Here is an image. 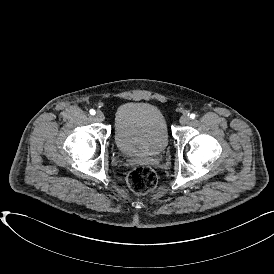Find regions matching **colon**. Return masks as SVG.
Segmentation results:
<instances>
[{
  "label": "colon",
  "instance_id": "5ec220e1",
  "mask_svg": "<svg viewBox=\"0 0 274 274\" xmlns=\"http://www.w3.org/2000/svg\"><path fill=\"white\" fill-rule=\"evenodd\" d=\"M127 184L136 194H146L156 187V174L152 169L147 167L136 168L129 173Z\"/></svg>",
  "mask_w": 274,
  "mask_h": 274
}]
</instances>
